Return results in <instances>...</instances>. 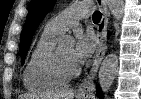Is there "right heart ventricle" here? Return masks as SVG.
Segmentation results:
<instances>
[{
	"label": "right heart ventricle",
	"mask_w": 141,
	"mask_h": 99,
	"mask_svg": "<svg viewBox=\"0 0 141 99\" xmlns=\"http://www.w3.org/2000/svg\"><path fill=\"white\" fill-rule=\"evenodd\" d=\"M57 40V36L45 30L40 35L23 73V83L27 90L44 92L58 88L63 84L50 74L47 65L48 57Z\"/></svg>",
	"instance_id": "1"
}]
</instances>
